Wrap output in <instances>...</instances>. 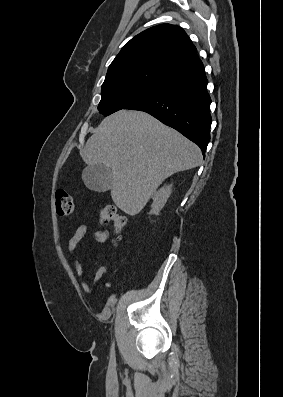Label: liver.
Segmentation results:
<instances>
[{"instance_id":"6515ba94","label":"liver","mask_w":283,"mask_h":397,"mask_svg":"<svg viewBox=\"0 0 283 397\" xmlns=\"http://www.w3.org/2000/svg\"><path fill=\"white\" fill-rule=\"evenodd\" d=\"M81 157L88 166L111 168L112 200L131 216L167 177L202 163L200 148L179 132L145 112L124 109L101 122Z\"/></svg>"}]
</instances>
